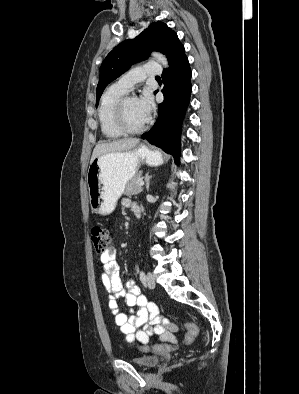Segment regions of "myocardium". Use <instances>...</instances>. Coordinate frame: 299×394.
Instances as JSON below:
<instances>
[{
  "mask_svg": "<svg viewBox=\"0 0 299 394\" xmlns=\"http://www.w3.org/2000/svg\"><path fill=\"white\" fill-rule=\"evenodd\" d=\"M129 99H136V97L132 94H124L121 96L115 104L113 110V120L116 127L125 134H136L143 131L149 124V119L147 118L146 121L138 126V127H130L125 120L124 116V107L126 102Z\"/></svg>",
  "mask_w": 299,
  "mask_h": 394,
  "instance_id": "f54148a6",
  "label": "myocardium"
}]
</instances>
